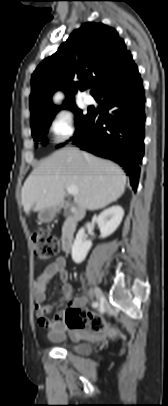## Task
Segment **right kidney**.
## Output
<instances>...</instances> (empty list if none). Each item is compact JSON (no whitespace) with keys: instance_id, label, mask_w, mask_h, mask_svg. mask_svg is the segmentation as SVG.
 <instances>
[{"instance_id":"obj_1","label":"right kidney","mask_w":168,"mask_h":406,"mask_svg":"<svg viewBox=\"0 0 168 406\" xmlns=\"http://www.w3.org/2000/svg\"><path fill=\"white\" fill-rule=\"evenodd\" d=\"M124 216V210L121 206H112L104 210L96 219L100 229L101 238L111 235L119 227ZM92 242L85 237V229L81 228L74 240L71 256L75 263H81L86 258Z\"/></svg>"}]
</instances>
